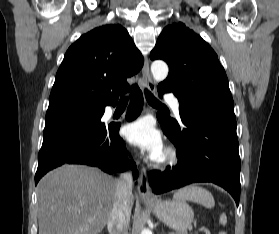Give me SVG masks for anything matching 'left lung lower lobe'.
I'll list each match as a JSON object with an SVG mask.
<instances>
[{
	"mask_svg": "<svg viewBox=\"0 0 279 234\" xmlns=\"http://www.w3.org/2000/svg\"><path fill=\"white\" fill-rule=\"evenodd\" d=\"M158 91L162 97L172 89L158 86ZM179 113L181 127L161 124L178 150V164L172 171L150 172L153 192L164 193L194 182H213L226 189L238 206L241 162L234 112L179 103Z\"/></svg>",
	"mask_w": 279,
	"mask_h": 234,
	"instance_id": "obj_1",
	"label": "left lung lower lobe"
}]
</instances>
